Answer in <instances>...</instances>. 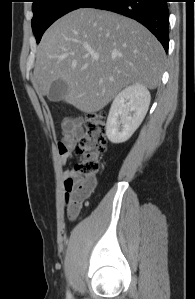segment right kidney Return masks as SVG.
<instances>
[{"label": "right kidney", "instance_id": "1", "mask_svg": "<svg viewBox=\"0 0 195 299\" xmlns=\"http://www.w3.org/2000/svg\"><path fill=\"white\" fill-rule=\"evenodd\" d=\"M150 100V92L139 83L130 85L118 93L107 118V138L114 144L127 141L143 121Z\"/></svg>", "mask_w": 195, "mask_h": 299}]
</instances>
